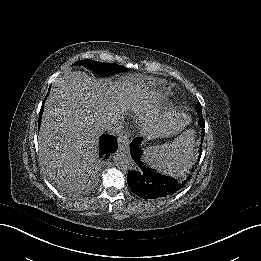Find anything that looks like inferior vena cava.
Wrapping results in <instances>:
<instances>
[{
  "mask_svg": "<svg viewBox=\"0 0 261 261\" xmlns=\"http://www.w3.org/2000/svg\"><path fill=\"white\" fill-rule=\"evenodd\" d=\"M104 130L111 135H119L123 130L122 122L118 119H112L106 122Z\"/></svg>",
  "mask_w": 261,
  "mask_h": 261,
  "instance_id": "inferior-vena-cava-1",
  "label": "inferior vena cava"
}]
</instances>
